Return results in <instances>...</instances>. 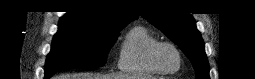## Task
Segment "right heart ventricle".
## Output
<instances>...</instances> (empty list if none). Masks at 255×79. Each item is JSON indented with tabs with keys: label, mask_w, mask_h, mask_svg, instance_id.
I'll list each match as a JSON object with an SVG mask.
<instances>
[{
	"label": "right heart ventricle",
	"mask_w": 255,
	"mask_h": 79,
	"mask_svg": "<svg viewBox=\"0 0 255 79\" xmlns=\"http://www.w3.org/2000/svg\"><path fill=\"white\" fill-rule=\"evenodd\" d=\"M159 40L143 26H135L126 34L120 48L118 67L122 72L139 75H160L150 61V51Z\"/></svg>",
	"instance_id": "obj_1"
}]
</instances>
